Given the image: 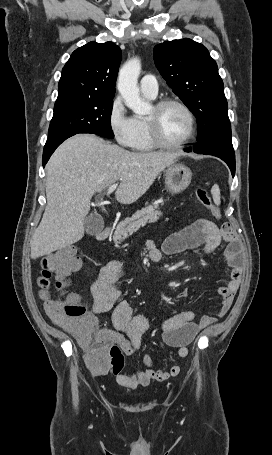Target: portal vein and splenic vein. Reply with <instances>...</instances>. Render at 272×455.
Instances as JSON below:
<instances>
[{"label":"portal vein and splenic vein","mask_w":272,"mask_h":455,"mask_svg":"<svg viewBox=\"0 0 272 455\" xmlns=\"http://www.w3.org/2000/svg\"><path fill=\"white\" fill-rule=\"evenodd\" d=\"M117 186H118L117 183H114L111 186H109L108 191H107V195H110L117 188Z\"/></svg>","instance_id":"obj_1"}]
</instances>
